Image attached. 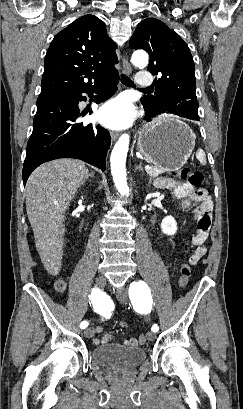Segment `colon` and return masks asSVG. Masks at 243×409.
Here are the masks:
<instances>
[{
  "instance_id": "1",
  "label": "colon",
  "mask_w": 243,
  "mask_h": 409,
  "mask_svg": "<svg viewBox=\"0 0 243 409\" xmlns=\"http://www.w3.org/2000/svg\"><path fill=\"white\" fill-rule=\"evenodd\" d=\"M173 175L177 179L187 180L194 188L199 189L201 187V185H202V181H203L202 174L199 173V172H192L187 167H184V168H181V169L175 171L173 173ZM189 246H190V244L187 243L186 249H188ZM180 271H181V277L179 279V286L184 288L187 285V283H188V281H189V279L191 277V266H190V264L187 263V262H184L181 265ZM56 288H57L58 291H62L64 289V284L59 282V283H57ZM138 341H139L140 344H144L146 342L145 335H140L138 337Z\"/></svg>"
}]
</instances>
